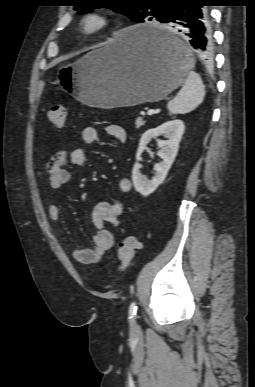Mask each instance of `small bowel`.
Returning a JSON list of instances; mask_svg holds the SVG:
<instances>
[{
    "mask_svg": "<svg viewBox=\"0 0 255 387\" xmlns=\"http://www.w3.org/2000/svg\"><path fill=\"white\" fill-rule=\"evenodd\" d=\"M108 135L114 137L121 143H125L127 133L124 127L116 124H110L105 127ZM82 141L91 145L98 140V130L93 126H86L81 131ZM74 165H84L87 162V153L82 148H75L71 151L59 150L51 156L46 164V173L49 186L58 190L64 187L70 181V173L64 168L67 161ZM131 181L123 177L118 181V190L121 193H128L131 190ZM123 203L118 199L110 201H101L97 203L92 211V222L95 227V234L92 237V246L88 248L76 247L72 250L73 257L80 263L93 264L99 262L105 252L114 244V234L108 229V226L117 228L120 224V216L123 213ZM61 209L56 203L48 208V215L52 221L60 218Z\"/></svg>",
    "mask_w": 255,
    "mask_h": 387,
    "instance_id": "c3829d8e",
    "label": "small bowel"
}]
</instances>
